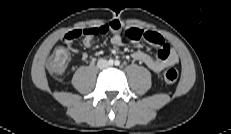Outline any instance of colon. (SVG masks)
Returning a JSON list of instances; mask_svg holds the SVG:
<instances>
[{
  "mask_svg": "<svg viewBox=\"0 0 231 134\" xmlns=\"http://www.w3.org/2000/svg\"><path fill=\"white\" fill-rule=\"evenodd\" d=\"M69 61V53L64 47L54 50L47 61V69L50 73L60 75L64 73ZM163 80L166 84L172 85L178 79V72L174 68H168L163 72Z\"/></svg>",
  "mask_w": 231,
  "mask_h": 134,
  "instance_id": "obj_1",
  "label": "colon"
}]
</instances>
